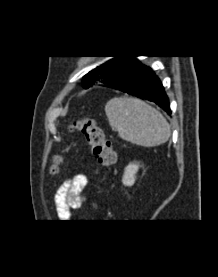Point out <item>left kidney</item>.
<instances>
[{"label": "left kidney", "instance_id": "1", "mask_svg": "<svg viewBox=\"0 0 218 277\" xmlns=\"http://www.w3.org/2000/svg\"><path fill=\"white\" fill-rule=\"evenodd\" d=\"M139 169V166L137 164H129L124 169V174L122 178V183L126 186H132L135 183L136 180V173Z\"/></svg>", "mask_w": 218, "mask_h": 277}]
</instances>
